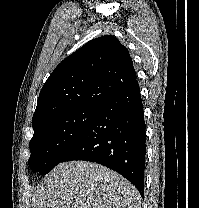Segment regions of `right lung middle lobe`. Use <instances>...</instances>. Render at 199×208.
<instances>
[{"mask_svg": "<svg viewBox=\"0 0 199 208\" xmlns=\"http://www.w3.org/2000/svg\"><path fill=\"white\" fill-rule=\"evenodd\" d=\"M98 106H83L58 113L33 127L30 168L44 175L58 165L76 145Z\"/></svg>", "mask_w": 199, "mask_h": 208, "instance_id": "1", "label": "right lung middle lobe"}]
</instances>
